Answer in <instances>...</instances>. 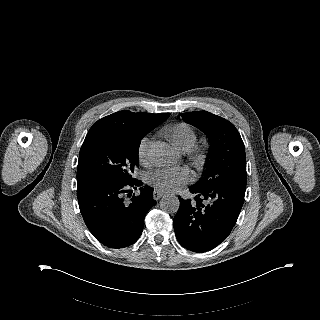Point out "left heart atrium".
Segmentation results:
<instances>
[{
  "label": "left heart atrium",
  "instance_id": "1",
  "mask_svg": "<svg viewBox=\"0 0 320 320\" xmlns=\"http://www.w3.org/2000/svg\"><path fill=\"white\" fill-rule=\"evenodd\" d=\"M189 179L184 168H163L149 175V181L164 191H176Z\"/></svg>",
  "mask_w": 320,
  "mask_h": 320
}]
</instances>
